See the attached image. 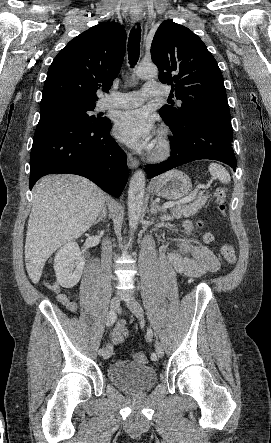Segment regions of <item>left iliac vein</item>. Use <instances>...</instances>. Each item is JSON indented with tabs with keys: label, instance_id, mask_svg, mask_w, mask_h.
<instances>
[{
	"label": "left iliac vein",
	"instance_id": "left-iliac-vein-1",
	"mask_svg": "<svg viewBox=\"0 0 271 443\" xmlns=\"http://www.w3.org/2000/svg\"><path fill=\"white\" fill-rule=\"evenodd\" d=\"M126 305L136 318L141 320L144 317L142 306L137 300L130 299L126 302ZM155 349L158 357L162 358L164 356V349L160 342H156Z\"/></svg>",
	"mask_w": 271,
	"mask_h": 443
}]
</instances>
